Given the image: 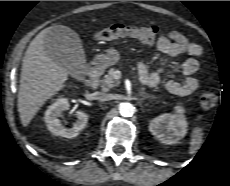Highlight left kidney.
Returning a JSON list of instances; mask_svg holds the SVG:
<instances>
[{"label": "left kidney", "mask_w": 230, "mask_h": 186, "mask_svg": "<svg viewBox=\"0 0 230 186\" xmlns=\"http://www.w3.org/2000/svg\"><path fill=\"white\" fill-rule=\"evenodd\" d=\"M174 114H161L149 123V131L165 144H176L187 133L188 123L184 116V108L175 107Z\"/></svg>", "instance_id": "1"}]
</instances>
